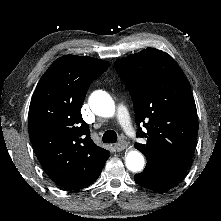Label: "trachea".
<instances>
[{
  "label": "trachea",
  "instance_id": "obj_1",
  "mask_svg": "<svg viewBox=\"0 0 221 221\" xmlns=\"http://www.w3.org/2000/svg\"><path fill=\"white\" fill-rule=\"evenodd\" d=\"M102 141L104 143H116L117 142V134L113 130H108L103 134Z\"/></svg>",
  "mask_w": 221,
  "mask_h": 221
}]
</instances>
